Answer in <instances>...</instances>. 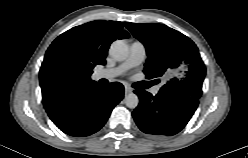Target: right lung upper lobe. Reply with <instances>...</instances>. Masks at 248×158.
Here are the masks:
<instances>
[{"instance_id": "1", "label": "right lung upper lobe", "mask_w": 248, "mask_h": 158, "mask_svg": "<svg viewBox=\"0 0 248 158\" xmlns=\"http://www.w3.org/2000/svg\"><path fill=\"white\" fill-rule=\"evenodd\" d=\"M118 21L96 20L64 32L48 48L39 72L43 100L96 83L92 69L105 65L110 44L128 38Z\"/></svg>"}]
</instances>
